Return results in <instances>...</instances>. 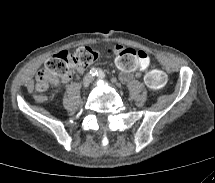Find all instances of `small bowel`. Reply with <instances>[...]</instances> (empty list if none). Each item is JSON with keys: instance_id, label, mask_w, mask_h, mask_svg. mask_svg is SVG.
<instances>
[{"instance_id": "small-bowel-1", "label": "small bowel", "mask_w": 215, "mask_h": 183, "mask_svg": "<svg viewBox=\"0 0 215 183\" xmlns=\"http://www.w3.org/2000/svg\"><path fill=\"white\" fill-rule=\"evenodd\" d=\"M115 52L117 57L115 59V68L119 73V78L122 81H128L132 78V75L139 77L146 73L151 67V56L144 49H136L135 47H123L122 45L115 46ZM82 71V70H79ZM44 70L40 71L33 86L30 90H33L34 99L37 102H45L49 96L45 94V91L49 85H57L59 83L66 84L73 79V72L69 71L65 76L59 79H44Z\"/></svg>"}]
</instances>
